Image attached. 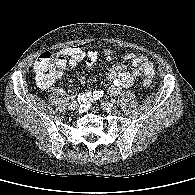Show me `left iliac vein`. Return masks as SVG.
<instances>
[{"label":"left iliac vein","instance_id":"obj_1","mask_svg":"<svg viewBox=\"0 0 195 195\" xmlns=\"http://www.w3.org/2000/svg\"><path fill=\"white\" fill-rule=\"evenodd\" d=\"M102 108L108 112H111L115 109V106H114V104H112L110 102H103Z\"/></svg>","mask_w":195,"mask_h":195}]
</instances>
